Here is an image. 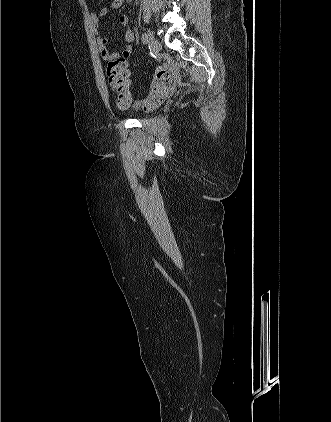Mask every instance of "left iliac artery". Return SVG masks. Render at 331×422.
Here are the masks:
<instances>
[{
  "mask_svg": "<svg viewBox=\"0 0 331 422\" xmlns=\"http://www.w3.org/2000/svg\"><path fill=\"white\" fill-rule=\"evenodd\" d=\"M142 42L143 44H146L148 42V34L146 32L142 34Z\"/></svg>",
  "mask_w": 331,
  "mask_h": 422,
  "instance_id": "1",
  "label": "left iliac artery"
}]
</instances>
